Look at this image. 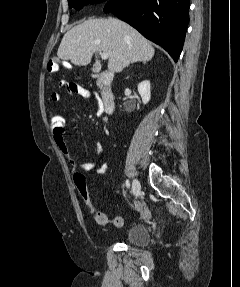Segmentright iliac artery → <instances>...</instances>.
I'll return each instance as SVG.
<instances>
[{"mask_svg":"<svg viewBox=\"0 0 240 287\" xmlns=\"http://www.w3.org/2000/svg\"><path fill=\"white\" fill-rule=\"evenodd\" d=\"M126 187L129 189L130 188V182L129 180H126Z\"/></svg>","mask_w":240,"mask_h":287,"instance_id":"82829eb1","label":"right iliac artery"}]
</instances>
